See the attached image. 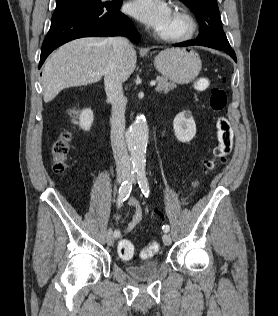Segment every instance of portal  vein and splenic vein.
<instances>
[{
  "label": "portal vein and splenic vein",
  "mask_w": 278,
  "mask_h": 316,
  "mask_svg": "<svg viewBox=\"0 0 278 316\" xmlns=\"http://www.w3.org/2000/svg\"><path fill=\"white\" fill-rule=\"evenodd\" d=\"M155 84H156L155 81H151V82H150V86H151V87L155 86Z\"/></svg>",
  "instance_id": "18ae733b"
}]
</instances>
